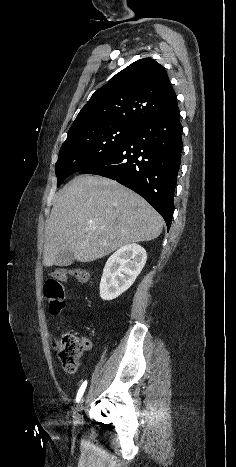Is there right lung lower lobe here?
Wrapping results in <instances>:
<instances>
[{"instance_id":"1","label":"right lung lower lobe","mask_w":236,"mask_h":467,"mask_svg":"<svg viewBox=\"0 0 236 467\" xmlns=\"http://www.w3.org/2000/svg\"><path fill=\"white\" fill-rule=\"evenodd\" d=\"M182 129L176 104L137 127L117 150L81 172L108 177L135 191L162 215L169 229L181 164Z\"/></svg>"}]
</instances>
